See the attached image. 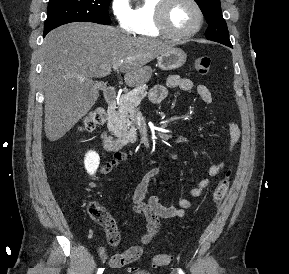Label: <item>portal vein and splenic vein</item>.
<instances>
[{
  "mask_svg": "<svg viewBox=\"0 0 289 274\" xmlns=\"http://www.w3.org/2000/svg\"><path fill=\"white\" fill-rule=\"evenodd\" d=\"M118 68H119V65H118V64H114V65H113V69H114V70H117Z\"/></svg>",
  "mask_w": 289,
  "mask_h": 274,
  "instance_id": "portal-vein-and-splenic-vein-1",
  "label": "portal vein and splenic vein"
}]
</instances>
